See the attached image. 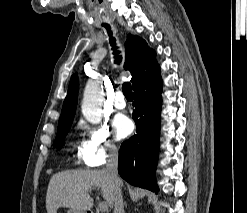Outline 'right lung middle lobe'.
<instances>
[{
    "instance_id": "1",
    "label": "right lung middle lobe",
    "mask_w": 247,
    "mask_h": 213,
    "mask_svg": "<svg viewBox=\"0 0 247 213\" xmlns=\"http://www.w3.org/2000/svg\"><path fill=\"white\" fill-rule=\"evenodd\" d=\"M70 126L71 124L58 127L57 135L53 144L54 147H57L58 149L62 147V143L70 129Z\"/></svg>"
}]
</instances>
